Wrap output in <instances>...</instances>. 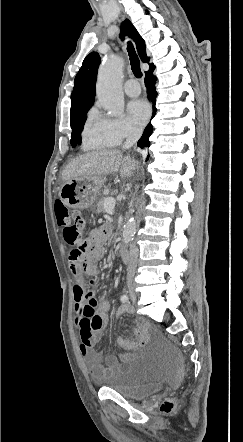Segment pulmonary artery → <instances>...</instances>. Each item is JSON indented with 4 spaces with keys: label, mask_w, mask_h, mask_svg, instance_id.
<instances>
[{
    "label": "pulmonary artery",
    "mask_w": 243,
    "mask_h": 442,
    "mask_svg": "<svg viewBox=\"0 0 243 442\" xmlns=\"http://www.w3.org/2000/svg\"><path fill=\"white\" fill-rule=\"evenodd\" d=\"M124 91L128 96L136 97L140 94V86L134 78L127 80L124 84Z\"/></svg>",
    "instance_id": "pulmonary-artery-1"
}]
</instances>
